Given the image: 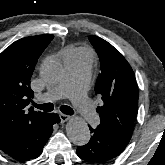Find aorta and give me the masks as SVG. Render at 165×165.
I'll list each match as a JSON object with an SVG mask.
<instances>
[{
	"mask_svg": "<svg viewBox=\"0 0 165 165\" xmlns=\"http://www.w3.org/2000/svg\"><path fill=\"white\" fill-rule=\"evenodd\" d=\"M40 76L49 83L59 82L63 76V67L57 61H46L40 67ZM66 133L75 145H85L90 140L89 127L86 121L80 117H74L68 121Z\"/></svg>",
	"mask_w": 165,
	"mask_h": 165,
	"instance_id": "obj_1",
	"label": "aorta"
}]
</instances>
